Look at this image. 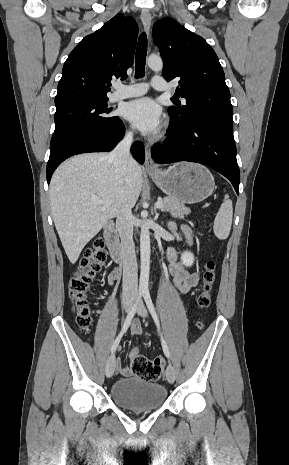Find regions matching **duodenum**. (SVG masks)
<instances>
[{"label":"duodenum","mask_w":289,"mask_h":465,"mask_svg":"<svg viewBox=\"0 0 289 465\" xmlns=\"http://www.w3.org/2000/svg\"><path fill=\"white\" fill-rule=\"evenodd\" d=\"M104 238L110 254V257L119 264L125 260V253L119 243L117 233L112 222H108L104 228Z\"/></svg>","instance_id":"410a0bca"}]
</instances>
